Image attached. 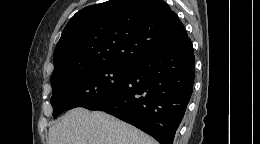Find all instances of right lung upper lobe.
Instances as JSON below:
<instances>
[{"instance_id": "cb5924a9", "label": "right lung upper lobe", "mask_w": 260, "mask_h": 144, "mask_svg": "<svg viewBox=\"0 0 260 144\" xmlns=\"http://www.w3.org/2000/svg\"><path fill=\"white\" fill-rule=\"evenodd\" d=\"M188 38L162 0H109L77 12L54 51L53 76L97 65L130 67Z\"/></svg>"}]
</instances>
